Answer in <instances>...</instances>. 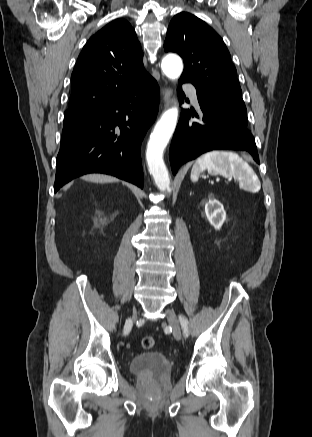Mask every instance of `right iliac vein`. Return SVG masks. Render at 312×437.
<instances>
[{"mask_svg":"<svg viewBox=\"0 0 312 437\" xmlns=\"http://www.w3.org/2000/svg\"><path fill=\"white\" fill-rule=\"evenodd\" d=\"M136 317H137V313L134 312V313H133V316H132V320H135ZM132 320H131V321H132Z\"/></svg>","mask_w":312,"mask_h":437,"instance_id":"1","label":"right iliac vein"}]
</instances>
